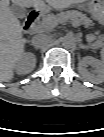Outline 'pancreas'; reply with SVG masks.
I'll use <instances>...</instances> for the list:
<instances>
[{
    "label": "pancreas",
    "mask_w": 104,
    "mask_h": 137,
    "mask_svg": "<svg viewBox=\"0 0 104 137\" xmlns=\"http://www.w3.org/2000/svg\"><path fill=\"white\" fill-rule=\"evenodd\" d=\"M47 20H50L52 22V25H56L58 23H66L70 21L73 25H80V24H85L89 26L92 21L86 17L85 14H82L81 12L78 11H67V12H62L59 14L58 17L55 16H48ZM89 41H94L96 38L93 35H90L87 37ZM94 47H97L99 45L98 41H94L92 44Z\"/></svg>",
    "instance_id": "obj_1"
}]
</instances>
